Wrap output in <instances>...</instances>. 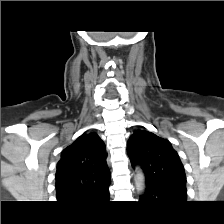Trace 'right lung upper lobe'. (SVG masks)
<instances>
[{
    "label": "right lung upper lobe",
    "instance_id": "1",
    "mask_svg": "<svg viewBox=\"0 0 224 224\" xmlns=\"http://www.w3.org/2000/svg\"><path fill=\"white\" fill-rule=\"evenodd\" d=\"M109 184L105 145L96 133L82 134L63 150L56 172L58 202L99 200Z\"/></svg>",
    "mask_w": 224,
    "mask_h": 224
}]
</instances>
